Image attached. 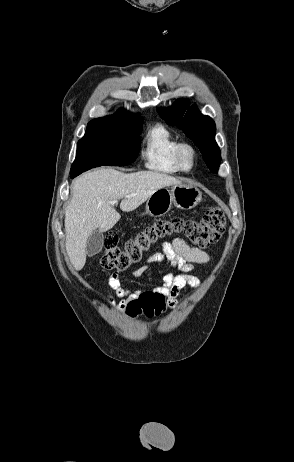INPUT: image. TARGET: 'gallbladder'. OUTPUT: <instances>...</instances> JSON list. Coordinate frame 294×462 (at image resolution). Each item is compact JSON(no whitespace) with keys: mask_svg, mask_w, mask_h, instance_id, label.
Listing matches in <instances>:
<instances>
[{"mask_svg":"<svg viewBox=\"0 0 294 462\" xmlns=\"http://www.w3.org/2000/svg\"><path fill=\"white\" fill-rule=\"evenodd\" d=\"M104 243V235L103 233L96 229L92 232V234L88 237L87 243H86V254L89 257H93L96 254H98Z\"/></svg>","mask_w":294,"mask_h":462,"instance_id":"1","label":"gallbladder"}]
</instances>
